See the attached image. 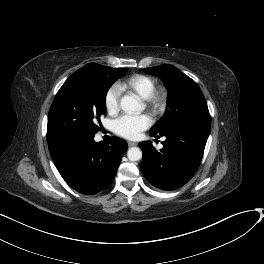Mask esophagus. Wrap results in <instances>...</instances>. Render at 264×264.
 <instances>
[{
	"label": "esophagus",
	"instance_id": "1",
	"mask_svg": "<svg viewBox=\"0 0 264 264\" xmlns=\"http://www.w3.org/2000/svg\"><path fill=\"white\" fill-rule=\"evenodd\" d=\"M137 144L135 142H131V141H128V146L129 147H132V146H136Z\"/></svg>",
	"mask_w": 264,
	"mask_h": 264
}]
</instances>
